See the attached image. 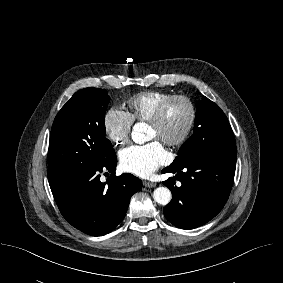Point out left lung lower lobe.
<instances>
[{
    "label": "left lung lower lobe",
    "mask_w": 283,
    "mask_h": 283,
    "mask_svg": "<svg viewBox=\"0 0 283 283\" xmlns=\"http://www.w3.org/2000/svg\"><path fill=\"white\" fill-rule=\"evenodd\" d=\"M236 149L201 155L183 163L168 166L163 173L176 176L164 181L172 200L163 209L173 225L194 229L214 218L224 207L234 180ZM176 180L181 186H176Z\"/></svg>",
    "instance_id": "0a47b994"
}]
</instances>
